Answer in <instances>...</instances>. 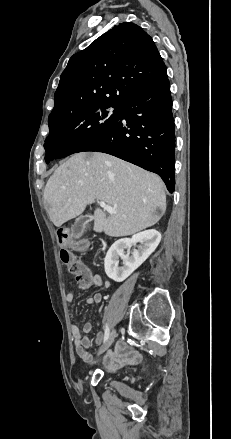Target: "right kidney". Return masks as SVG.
Listing matches in <instances>:
<instances>
[{
	"label": "right kidney",
	"instance_id": "ca27d5eb",
	"mask_svg": "<svg viewBox=\"0 0 231 439\" xmlns=\"http://www.w3.org/2000/svg\"><path fill=\"white\" fill-rule=\"evenodd\" d=\"M160 240L161 234L154 229L137 233L130 239L117 240L106 254L105 273L116 282L124 281L155 251ZM136 243L140 244L138 248L130 251ZM125 249L127 254H124ZM119 258L123 260L122 266H119Z\"/></svg>",
	"mask_w": 231,
	"mask_h": 439
}]
</instances>
